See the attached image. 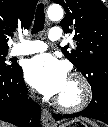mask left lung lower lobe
Wrapping results in <instances>:
<instances>
[{"instance_id": "left-lung-lower-lobe-1", "label": "left lung lower lobe", "mask_w": 108, "mask_h": 127, "mask_svg": "<svg viewBox=\"0 0 108 127\" xmlns=\"http://www.w3.org/2000/svg\"><path fill=\"white\" fill-rule=\"evenodd\" d=\"M97 119L108 124V90L96 89L93 91V98L89 106L81 112L67 115L53 114L55 120L63 118H72L78 116Z\"/></svg>"}]
</instances>
